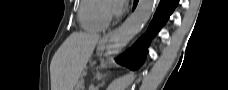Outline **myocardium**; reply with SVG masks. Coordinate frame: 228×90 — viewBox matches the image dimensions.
I'll use <instances>...</instances> for the list:
<instances>
[{"instance_id": "f54148a6", "label": "myocardium", "mask_w": 228, "mask_h": 90, "mask_svg": "<svg viewBox=\"0 0 228 90\" xmlns=\"http://www.w3.org/2000/svg\"><path fill=\"white\" fill-rule=\"evenodd\" d=\"M102 17L106 22H110L112 20V14L108 2L102 6Z\"/></svg>"}]
</instances>
